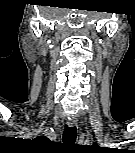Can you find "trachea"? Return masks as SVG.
I'll use <instances>...</instances> for the list:
<instances>
[{"instance_id":"trachea-1","label":"trachea","mask_w":135,"mask_h":153,"mask_svg":"<svg viewBox=\"0 0 135 153\" xmlns=\"http://www.w3.org/2000/svg\"><path fill=\"white\" fill-rule=\"evenodd\" d=\"M76 136H77L76 127L75 126L67 127L64 129L63 142L66 144H73L76 140Z\"/></svg>"}]
</instances>
